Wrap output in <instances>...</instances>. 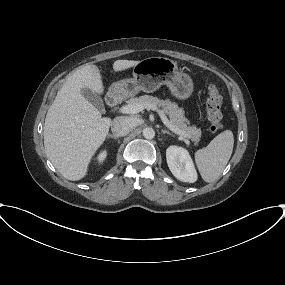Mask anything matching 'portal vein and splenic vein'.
I'll return each instance as SVG.
<instances>
[{"label": "portal vein and splenic vein", "mask_w": 285, "mask_h": 285, "mask_svg": "<svg viewBox=\"0 0 285 285\" xmlns=\"http://www.w3.org/2000/svg\"><path fill=\"white\" fill-rule=\"evenodd\" d=\"M144 108V106L140 103L137 104H128L120 108V112L123 114H136L141 112ZM157 108H153V110H156ZM161 120L166 125L167 128H169L172 132H174L177 135L184 136V132L177 129L175 126L172 125V123L168 120V118L165 116L164 112L162 110H157Z\"/></svg>", "instance_id": "portal-vein-and-splenic-vein-1"}]
</instances>
